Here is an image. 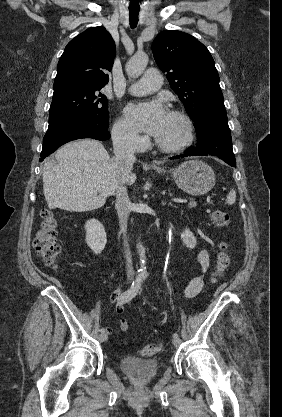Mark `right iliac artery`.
I'll return each instance as SVG.
<instances>
[{"instance_id": "right-iliac-artery-1", "label": "right iliac artery", "mask_w": 282, "mask_h": 417, "mask_svg": "<svg viewBox=\"0 0 282 417\" xmlns=\"http://www.w3.org/2000/svg\"><path fill=\"white\" fill-rule=\"evenodd\" d=\"M141 286V279H137L135 282H133L132 286L130 289H128L127 291L123 292L120 297L118 298V301L121 304H125L129 301H131L138 293L139 289ZM105 328L101 329V333H105Z\"/></svg>"}]
</instances>
